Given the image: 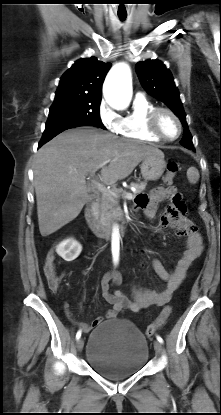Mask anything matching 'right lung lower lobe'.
<instances>
[{
    "label": "right lung lower lobe",
    "instance_id": "right-lung-lower-lobe-1",
    "mask_svg": "<svg viewBox=\"0 0 221 415\" xmlns=\"http://www.w3.org/2000/svg\"><path fill=\"white\" fill-rule=\"evenodd\" d=\"M79 126H91L84 122H76V121H69V122H63V121H57V122H51L46 123L45 131L43 132L42 138L39 142V147L42 146L44 143L51 140L53 137L58 135L59 133L63 132L64 130L75 128Z\"/></svg>",
    "mask_w": 221,
    "mask_h": 415
}]
</instances>
